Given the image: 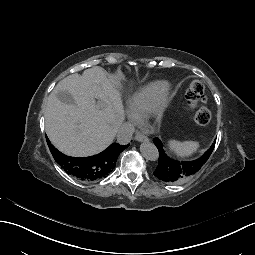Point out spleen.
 I'll return each instance as SVG.
<instances>
[{
  "mask_svg": "<svg viewBox=\"0 0 255 255\" xmlns=\"http://www.w3.org/2000/svg\"><path fill=\"white\" fill-rule=\"evenodd\" d=\"M169 148L176 153L177 156L187 157L192 155L199 148V143L196 141H170Z\"/></svg>",
  "mask_w": 255,
  "mask_h": 255,
  "instance_id": "spleen-1",
  "label": "spleen"
}]
</instances>
